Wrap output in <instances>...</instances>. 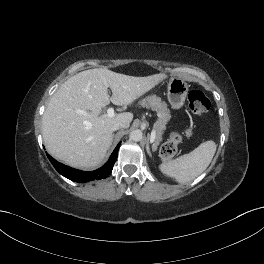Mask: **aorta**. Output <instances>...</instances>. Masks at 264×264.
<instances>
[{
    "label": "aorta",
    "mask_w": 264,
    "mask_h": 264,
    "mask_svg": "<svg viewBox=\"0 0 264 264\" xmlns=\"http://www.w3.org/2000/svg\"><path fill=\"white\" fill-rule=\"evenodd\" d=\"M142 131L139 130V129H136V130H133L131 133H130V139L132 141H135V142H138L142 139Z\"/></svg>",
    "instance_id": "obj_1"
}]
</instances>
